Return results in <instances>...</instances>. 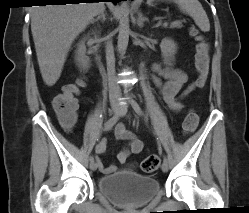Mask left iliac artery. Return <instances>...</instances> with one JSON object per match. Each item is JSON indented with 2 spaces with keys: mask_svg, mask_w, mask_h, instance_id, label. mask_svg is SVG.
Returning <instances> with one entry per match:
<instances>
[{
  "mask_svg": "<svg viewBox=\"0 0 249 213\" xmlns=\"http://www.w3.org/2000/svg\"><path fill=\"white\" fill-rule=\"evenodd\" d=\"M131 105H132L134 111H135L138 115H142V114H143V112H142L140 106L138 105V103H137L136 101L131 100ZM164 161H165V162L168 161L166 157H164Z\"/></svg>",
  "mask_w": 249,
  "mask_h": 213,
  "instance_id": "44dca946",
  "label": "left iliac artery"
}]
</instances>
